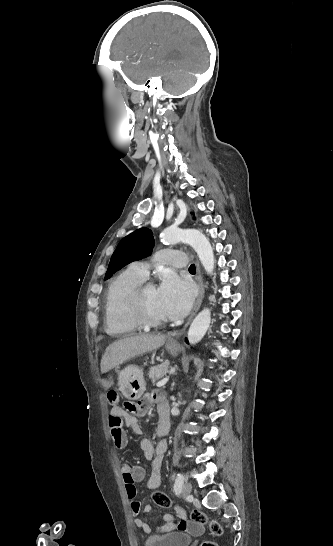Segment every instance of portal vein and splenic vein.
Masks as SVG:
<instances>
[{
  "mask_svg": "<svg viewBox=\"0 0 333 546\" xmlns=\"http://www.w3.org/2000/svg\"><path fill=\"white\" fill-rule=\"evenodd\" d=\"M168 380H169V377H165V378H163L161 381H159V382L156 384V386H157V387H162V386H164V385L168 382Z\"/></svg>",
  "mask_w": 333,
  "mask_h": 546,
  "instance_id": "obj_1",
  "label": "portal vein and splenic vein"
}]
</instances>
